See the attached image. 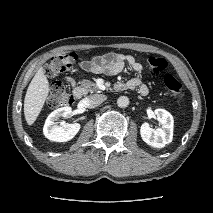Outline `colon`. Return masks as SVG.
I'll list each match as a JSON object with an SVG mask.
<instances>
[{
	"instance_id": "colon-1",
	"label": "colon",
	"mask_w": 213,
	"mask_h": 213,
	"mask_svg": "<svg viewBox=\"0 0 213 213\" xmlns=\"http://www.w3.org/2000/svg\"><path fill=\"white\" fill-rule=\"evenodd\" d=\"M77 55L75 53H66L54 56L46 64L45 72L49 77H55L63 74L75 65ZM147 67L153 75H160L167 67V61L161 57H151L147 60ZM166 89L172 94H179L182 90L181 83L171 74L163 78ZM48 105L51 108H60L73 103V96L65 85L61 82H54L51 85L48 96Z\"/></svg>"
}]
</instances>
